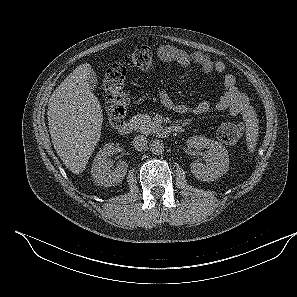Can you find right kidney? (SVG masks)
I'll return each instance as SVG.
<instances>
[{"label":"right kidney","mask_w":297,"mask_h":297,"mask_svg":"<svg viewBox=\"0 0 297 297\" xmlns=\"http://www.w3.org/2000/svg\"><path fill=\"white\" fill-rule=\"evenodd\" d=\"M114 144L108 143L102 147L94 158L92 165V176L94 182L98 185L110 187L122 182L126 173L128 164L120 161L115 169L108 157L114 153Z\"/></svg>","instance_id":"obj_1"}]
</instances>
